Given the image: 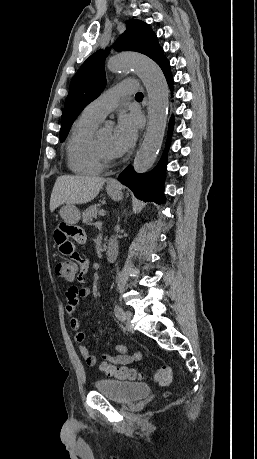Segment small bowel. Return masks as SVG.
<instances>
[{"mask_svg":"<svg viewBox=\"0 0 257 459\" xmlns=\"http://www.w3.org/2000/svg\"><path fill=\"white\" fill-rule=\"evenodd\" d=\"M84 227H75V223H56V230L53 232V243L58 248V253L61 258H66L68 264H80L81 275L79 280L81 283L85 281L88 269V256L84 254L80 246L76 244H87L88 236L84 235ZM91 291L88 287L71 286L66 291V314L69 317V323L72 330L76 332L75 340L82 343L85 340V333L81 330V321L75 317L77 307L82 300L89 299ZM117 355L105 353L103 358L111 363L126 365L141 359L140 353L130 354L129 350L124 345H116L114 347ZM79 352L82 358L89 366L98 364L97 358L89 351V349L81 345Z\"/></svg>","mask_w":257,"mask_h":459,"instance_id":"obj_1","label":"small bowel"}]
</instances>
